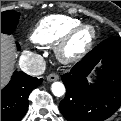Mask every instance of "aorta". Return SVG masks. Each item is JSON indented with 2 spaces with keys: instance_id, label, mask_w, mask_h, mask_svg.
Wrapping results in <instances>:
<instances>
[{
  "instance_id": "1",
  "label": "aorta",
  "mask_w": 121,
  "mask_h": 121,
  "mask_svg": "<svg viewBox=\"0 0 121 121\" xmlns=\"http://www.w3.org/2000/svg\"><path fill=\"white\" fill-rule=\"evenodd\" d=\"M51 91L55 96L61 97L65 94V86L61 82H54L51 86Z\"/></svg>"
}]
</instances>
